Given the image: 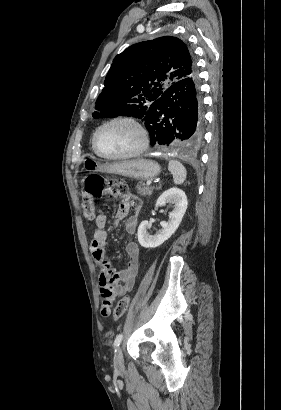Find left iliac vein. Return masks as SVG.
<instances>
[{
    "label": "left iliac vein",
    "instance_id": "1",
    "mask_svg": "<svg viewBox=\"0 0 281 410\" xmlns=\"http://www.w3.org/2000/svg\"><path fill=\"white\" fill-rule=\"evenodd\" d=\"M114 367L116 370H122L124 366V359L122 349L119 347L117 348L114 359H113Z\"/></svg>",
    "mask_w": 281,
    "mask_h": 410
}]
</instances>
